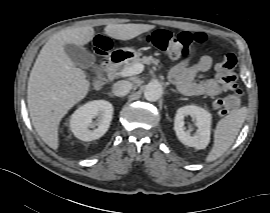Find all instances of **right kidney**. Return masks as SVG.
Wrapping results in <instances>:
<instances>
[{"label":"right kidney","instance_id":"ca27d5eb","mask_svg":"<svg viewBox=\"0 0 270 213\" xmlns=\"http://www.w3.org/2000/svg\"><path fill=\"white\" fill-rule=\"evenodd\" d=\"M113 106L106 100H95L78 108L71 116L70 129L82 141L103 136L110 126ZM93 118H97L95 122Z\"/></svg>","mask_w":270,"mask_h":213}]
</instances>
